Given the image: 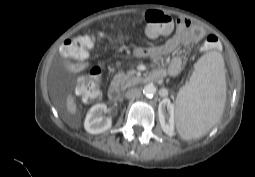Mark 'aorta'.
Listing matches in <instances>:
<instances>
[{
  "label": "aorta",
  "mask_w": 255,
  "mask_h": 177,
  "mask_svg": "<svg viewBox=\"0 0 255 177\" xmlns=\"http://www.w3.org/2000/svg\"><path fill=\"white\" fill-rule=\"evenodd\" d=\"M156 93V87L153 84L145 85L143 88V94L146 97H152Z\"/></svg>",
  "instance_id": "762f6f07"
}]
</instances>
